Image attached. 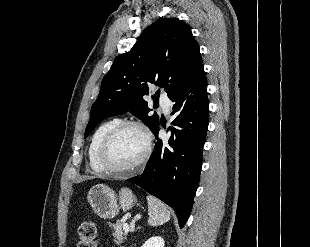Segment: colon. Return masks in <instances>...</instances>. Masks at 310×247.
<instances>
[{"label":"colon","mask_w":310,"mask_h":247,"mask_svg":"<svg viewBox=\"0 0 310 247\" xmlns=\"http://www.w3.org/2000/svg\"><path fill=\"white\" fill-rule=\"evenodd\" d=\"M78 247H96L97 227L94 222L86 220L78 228Z\"/></svg>","instance_id":"colon-1"}]
</instances>
